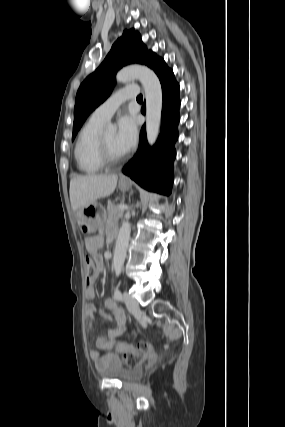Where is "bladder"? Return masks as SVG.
Here are the masks:
<instances>
[{
    "mask_svg": "<svg viewBox=\"0 0 285 427\" xmlns=\"http://www.w3.org/2000/svg\"><path fill=\"white\" fill-rule=\"evenodd\" d=\"M143 374L140 366L123 367L121 364L113 365L103 370L101 375L106 378L119 379L122 381H133L139 379Z\"/></svg>",
    "mask_w": 285,
    "mask_h": 427,
    "instance_id": "1",
    "label": "bladder"
}]
</instances>
